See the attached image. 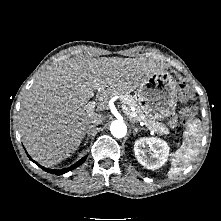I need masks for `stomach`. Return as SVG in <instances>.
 I'll return each instance as SVG.
<instances>
[{
	"label": "stomach",
	"mask_w": 221,
	"mask_h": 221,
	"mask_svg": "<svg viewBox=\"0 0 221 221\" xmlns=\"http://www.w3.org/2000/svg\"><path fill=\"white\" fill-rule=\"evenodd\" d=\"M138 106L150 121L171 116L178 100L177 83L167 71L153 73L137 89Z\"/></svg>",
	"instance_id": "obj_1"
}]
</instances>
